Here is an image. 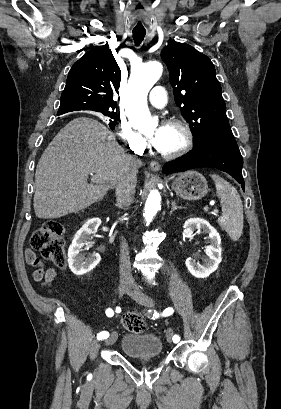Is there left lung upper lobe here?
<instances>
[{
  "label": "left lung upper lobe",
  "mask_w": 281,
  "mask_h": 409,
  "mask_svg": "<svg viewBox=\"0 0 281 409\" xmlns=\"http://www.w3.org/2000/svg\"><path fill=\"white\" fill-rule=\"evenodd\" d=\"M170 72L175 102L190 124L194 146L215 142L237 145L222 89L211 60L185 43H171L161 52Z\"/></svg>",
  "instance_id": "5c2ea615"
}]
</instances>
